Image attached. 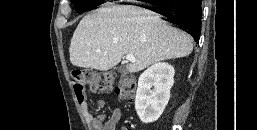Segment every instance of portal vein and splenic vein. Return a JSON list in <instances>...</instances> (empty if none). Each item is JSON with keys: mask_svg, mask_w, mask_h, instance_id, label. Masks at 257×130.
Returning a JSON list of instances; mask_svg holds the SVG:
<instances>
[{"mask_svg": "<svg viewBox=\"0 0 257 130\" xmlns=\"http://www.w3.org/2000/svg\"><path fill=\"white\" fill-rule=\"evenodd\" d=\"M126 60H128L130 62H135L136 61L135 57L131 54L126 55Z\"/></svg>", "mask_w": 257, "mask_h": 130, "instance_id": "18ae733b", "label": "portal vein and splenic vein"}]
</instances>
